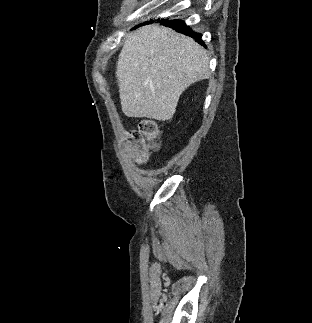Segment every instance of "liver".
<instances>
[{"label": "liver", "instance_id": "1", "mask_svg": "<svg viewBox=\"0 0 312 323\" xmlns=\"http://www.w3.org/2000/svg\"><path fill=\"white\" fill-rule=\"evenodd\" d=\"M209 58L193 38L165 26H143L127 36L115 72L128 118L171 120L191 84L210 74Z\"/></svg>", "mask_w": 312, "mask_h": 323}]
</instances>
